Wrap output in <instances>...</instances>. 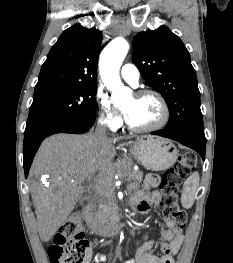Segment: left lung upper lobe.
Here are the masks:
<instances>
[{
	"label": "left lung upper lobe",
	"mask_w": 233,
	"mask_h": 263,
	"mask_svg": "<svg viewBox=\"0 0 233 263\" xmlns=\"http://www.w3.org/2000/svg\"><path fill=\"white\" fill-rule=\"evenodd\" d=\"M133 46V62L169 106L165 129L205 138L196 72L183 42L169 28L160 26L138 33Z\"/></svg>",
	"instance_id": "obj_1"
}]
</instances>
